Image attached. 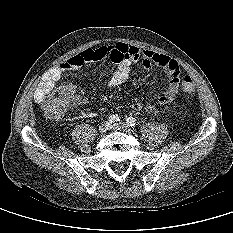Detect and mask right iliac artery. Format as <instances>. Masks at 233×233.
<instances>
[{
	"instance_id": "1",
	"label": "right iliac artery",
	"mask_w": 233,
	"mask_h": 233,
	"mask_svg": "<svg viewBox=\"0 0 233 233\" xmlns=\"http://www.w3.org/2000/svg\"><path fill=\"white\" fill-rule=\"evenodd\" d=\"M108 120L110 123H114V122H119L120 118L118 115L113 114L109 116Z\"/></svg>"
}]
</instances>
